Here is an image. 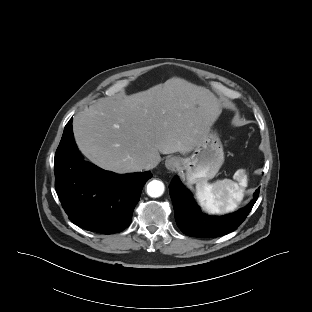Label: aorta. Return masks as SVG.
Segmentation results:
<instances>
[{
  "mask_svg": "<svg viewBox=\"0 0 312 312\" xmlns=\"http://www.w3.org/2000/svg\"><path fill=\"white\" fill-rule=\"evenodd\" d=\"M164 184L159 180H152L147 184V194L150 197L157 198L164 193Z\"/></svg>",
  "mask_w": 312,
  "mask_h": 312,
  "instance_id": "1",
  "label": "aorta"
}]
</instances>
